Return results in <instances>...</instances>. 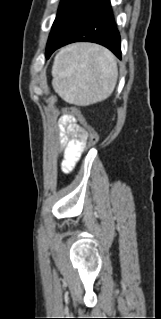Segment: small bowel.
I'll return each instance as SVG.
<instances>
[{
    "mask_svg": "<svg viewBox=\"0 0 161 319\" xmlns=\"http://www.w3.org/2000/svg\"><path fill=\"white\" fill-rule=\"evenodd\" d=\"M60 145L63 147L61 169L65 173L72 171L85 145V131L77 123L74 115L65 113L59 118Z\"/></svg>",
    "mask_w": 161,
    "mask_h": 319,
    "instance_id": "small-bowel-1",
    "label": "small bowel"
}]
</instances>
